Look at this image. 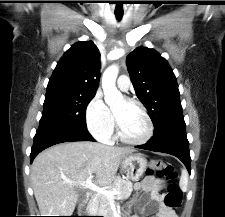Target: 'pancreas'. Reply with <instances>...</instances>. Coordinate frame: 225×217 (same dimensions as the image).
<instances>
[{"mask_svg": "<svg viewBox=\"0 0 225 217\" xmlns=\"http://www.w3.org/2000/svg\"><path fill=\"white\" fill-rule=\"evenodd\" d=\"M108 190H117L120 192V194L116 195L118 198L127 199L133 191V184L128 179H123L120 176H117L113 183L108 186ZM88 209L91 213L97 215L113 217L109 198L100 193L93 196L88 205Z\"/></svg>", "mask_w": 225, "mask_h": 217, "instance_id": "obj_1", "label": "pancreas"}]
</instances>
